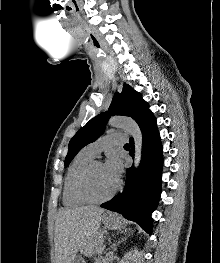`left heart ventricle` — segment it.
<instances>
[{
    "mask_svg": "<svg viewBox=\"0 0 220 263\" xmlns=\"http://www.w3.org/2000/svg\"><path fill=\"white\" fill-rule=\"evenodd\" d=\"M116 184L117 181L109 175L103 163L94 167L88 179V188L97 197L108 194Z\"/></svg>",
    "mask_w": 220,
    "mask_h": 263,
    "instance_id": "left-heart-ventricle-1",
    "label": "left heart ventricle"
}]
</instances>
